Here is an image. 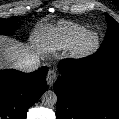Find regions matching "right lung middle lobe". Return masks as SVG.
<instances>
[{"instance_id": "right-lung-middle-lobe-1", "label": "right lung middle lobe", "mask_w": 119, "mask_h": 119, "mask_svg": "<svg viewBox=\"0 0 119 119\" xmlns=\"http://www.w3.org/2000/svg\"><path fill=\"white\" fill-rule=\"evenodd\" d=\"M14 18H0V34H12L15 30Z\"/></svg>"}]
</instances>
